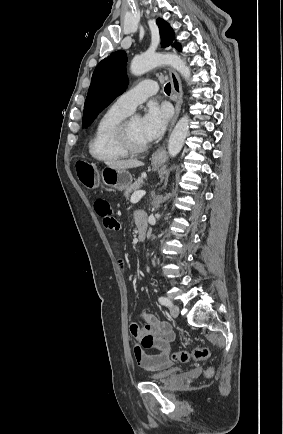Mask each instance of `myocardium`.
<instances>
[{
    "instance_id": "f54148a6",
    "label": "myocardium",
    "mask_w": 283,
    "mask_h": 434,
    "mask_svg": "<svg viewBox=\"0 0 283 434\" xmlns=\"http://www.w3.org/2000/svg\"><path fill=\"white\" fill-rule=\"evenodd\" d=\"M133 117L125 118L117 128L116 137L121 147L129 154H135L145 151L148 148V143L135 142L130 134L129 125Z\"/></svg>"
}]
</instances>
